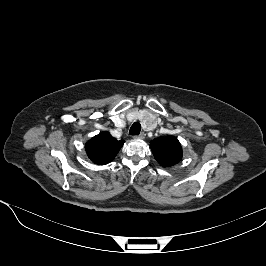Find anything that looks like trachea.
Returning <instances> with one entry per match:
<instances>
[{"label":"trachea","instance_id":"3493384b","mask_svg":"<svg viewBox=\"0 0 266 266\" xmlns=\"http://www.w3.org/2000/svg\"><path fill=\"white\" fill-rule=\"evenodd\" d=\"M141 131V125L139 122L133 123V125L130 128V135H139Z\"/></svg>","mask_w":266,"mask_h":266}]
</instances>
